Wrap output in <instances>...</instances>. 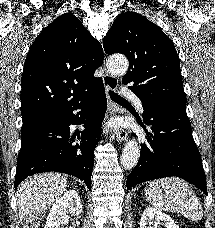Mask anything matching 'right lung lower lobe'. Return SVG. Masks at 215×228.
I'll return each mask as SVG.
<instances>
[{"label": "right lung lower lobe", "instance_id": "1", "mask_svg": "<svg viewBox=\"0 0 215 228\" xmlns=\"http://www.w3.org/2000/svg\"><path fill=\"white\" fill-rule=\"evenodd\" d=\"M106 95L101 78L58 114L21 132V150L17 160L15 189L28 176L41 172H61L84 181L91 190L94 149L100 140L106 111ZM79 114H73L78 110ZM82 124L85 130L70 136V125Z\"/></svg>", "mask_w": 215, "mask_h": 228}]
</instances>
